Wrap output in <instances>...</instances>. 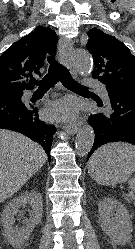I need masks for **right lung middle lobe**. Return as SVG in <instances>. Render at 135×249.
Instances as JSON below:
<instances>
[{"mask_svg":"<svg viewBox=\"0 0 135 249\" xmlns=\"http://www.w3.org/2000/svg\"><path fill=\"white\" fill-rule=\"evenodd\" d=\"M11 94H14L16 96H21L22 95V92H14V93H11Z\"/></svg>","mask_w":135,"mask_h":249,"instance_id":"obj_1","label":"right lung middle lobe"}]
</instances>
